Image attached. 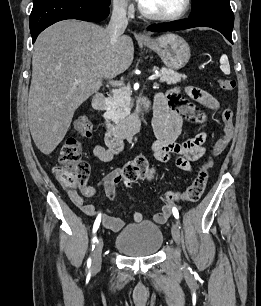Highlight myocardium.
I'll list each match as a JSON object with an SVG mask.
<instances>
[{"label": "myocardium", "instance_id": "obj_1", "mask_svg": "<svg viewBox=\"0 0 261 306\" xmlns=\"http://www.w3.org/2000/svg\"><path fill=\"white\" fill-rule=\"evenodd\" d=\"M191 3H192L191 0H184L182 8L178 12H176L174 14H169V15L157 14V13L150 12V11L146 10L141 5V3H139L138 8H139L140 13L148 19L158 20V21H173V20H178V19L182 18L183 16H185L188 13V11L190 10Z\"/></svg>", "mask_w": 261, "mask_h": 306}]
</instances>
